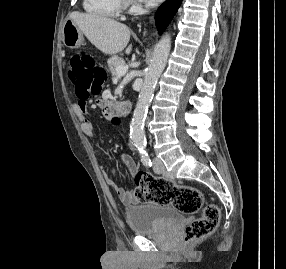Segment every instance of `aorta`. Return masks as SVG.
Masks as SVG:
<instances>
[{
  "mask_svg": "<svg viewBox=\"0 0 286 269\" xmlns=\"http://www.w3.org/2000/svg\"><path fill=\"white\" fill-rule=\"evenodd\" d=\"M171 49L170 35H164L155 45L153 56L145 73L144 82L130 124V137L142 156L146 155L144 123L155 85L163 72Z\"/></svg>",
  "mask_w": 286,
  "mask_h": 269,
  "instance_id": "aorta-1",
  "label": "aorta"
}]
</instances>
